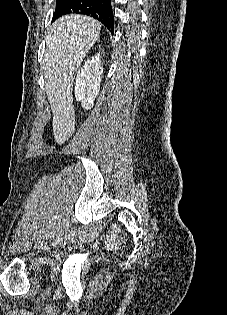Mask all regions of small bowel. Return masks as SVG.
I'll return each instance as SVG.
<instances>
[{
	"mask_svg": "<svg viewBox=\"0 0 227 315\" xmlns=\"http://www.w3.org/2000/svg\"><path fill=\"white\" fill-rule=\"evenodd\" d=\"M117 234H118V229L117 228H113L112 231L109 233L108 237H107V242L109 244H115L117 241Z\"/></svg>",
	"mask_w": 227,
	"mask_h": 315,
	"instance_id": "obj_1",
	"label": "small bowel"
}]
</instances>
